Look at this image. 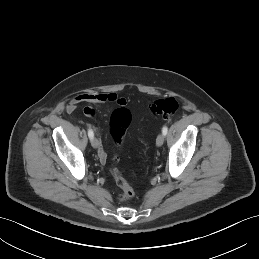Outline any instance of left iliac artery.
<instances>
[{"instance_id": "1", "label": "left iliac artery", "mask_w": 259, "mask_h": 259, "mask_svg": "<svg viewBox=\"0 0 259 259\" xmlns=\"http://www.w3.org/2000/svg\"><path fill=\"white\" fill-rule=\"evenodd\" d=\"M167 132H168L167 126H164V127L162 128V134H163L164 136H166V135H167Z\"/></svg>"}]
</instances>
